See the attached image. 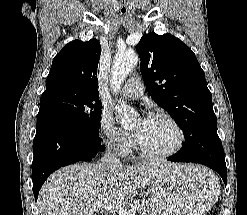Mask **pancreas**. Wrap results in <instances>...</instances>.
<instances>
[{
    "label": "pancreas",
    "instance_id": "pancreas-1",
    "mask_svg": "<svg viewBox=\"0 0 247 215\" xmlns=\"http://www.w3.org/2000/svg\"><path fill=\"white\" fill-rule=\"evenodd\" d=\"M139 204L137 211L140 215H157L153 205L148 201H136Z\"/></svg>",
    "mask_w": 247,
    "mask_h": 215
}]
</instances>
